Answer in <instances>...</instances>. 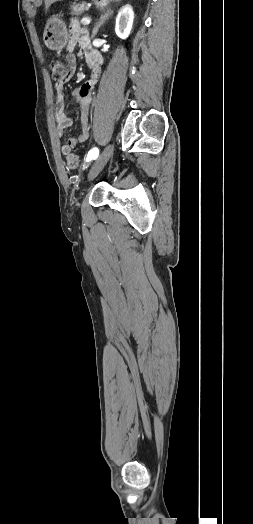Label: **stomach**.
<instances>
[{
    "mask_svg": "<svg viewBox=\"0 0 253 524\" xmlns=\"http://www.w3.org/2000/svg\"><path fill=\"white\" fill-rule=\"evenodd\" d=\"M96 5L104 7L112 0H93ZM118 1V0H115ZM43 39L51 50H62L68 41V32L64 22L57 16H52L45 26Z\"/></svg>",
    "mask_w": 253,
    "mask_h": 524,
    "instance_id": "0dacf381",
    "label": "stomach"
}]
</instances>
